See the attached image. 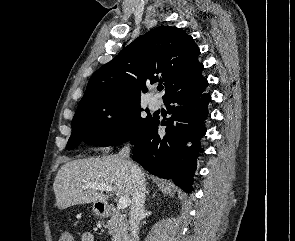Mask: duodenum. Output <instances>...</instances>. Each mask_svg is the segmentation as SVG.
I'll return each instance as SVG.
<instances>
[{"mask_svg": "<svg viewBox=\"0 0 295 241\" xmlns=\"http://www.w3.org/2000/svg\"><path fill=\"white\" fill-rule=\"evenodd\" d=\"M110 209L109 205L107 204H102L100 207V210L104 213H106ZM125 241H131L129 238L125 239Z\"/></svg>", "mask_w": 295, "mask_h": 241, "instance_id": "1", "label": "duodenum"}]
</instances>
